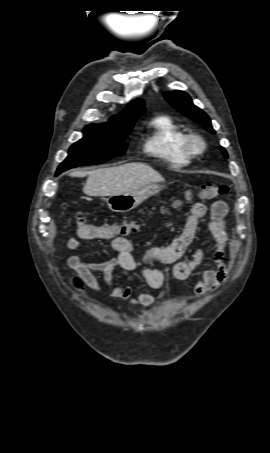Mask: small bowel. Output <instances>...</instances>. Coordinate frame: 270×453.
I'll use <instances>...</instances> for the list:
<instances>
[{
  "instance_id": "small-bowel-1",
  "label": "small bowel",
  "mask_w": 270,
  "mask_h": 453,
  "mask_svg": "<svg viewBox=\"0 0 270 453\" xmlns=\"http://www.w3.org/2000/svg\"><path fill=\"white\" fill-rule=\"evenodd\" d=\"M227 214V204L222 200L215 201L209 209L200 202L193 204L185 223L170 244L151 247L142 254L141 277L144 283L152 289H160L167 279L183 281L195 276L194 293L197 297L216 290L225 282L228 275L226 249H234L228 237ZM204 217H208L207 229L215 240V249L212 254L214 269L202 268L205 259L202 248L196 249L191 259L180 261L194 242L199 221ZM96 238L105 239L99 236ZM85 239L88 238L70 237L66 240V246L77 250ZM111 248L115 256L105 261H92L80 256L68 258L69 267L76 273L69 275L73 288L81 295H84L85 289L88 288L112 299L121 301L130 299L132 304L139 306H150L159 300L163 294L153 295L131 285L122 287L115 283L113 273L116 269L132 271L138 267V262L134 255V244L130 239L122 236L115 237L111 240ZM154 264H170L172 267L159 269L153 267ZM95 273L101 274L104 286L98 281Z\"/></svg>"
}]
</instances>
